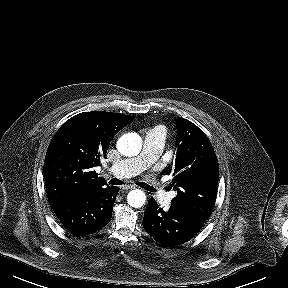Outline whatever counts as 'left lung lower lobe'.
I'll list each match as a JSON object with an SVG mask.
<instances>
[{
	"label": "left lung lower lobe",
	"instance_id": "left-lung-lower-lobe-1",
	"mask_svg": "<svg viewBox=\"0 0 288 288\" xmlns=\"http://www.w3.org/2000/svg\"><path fill=\"white\" fill-rule=\"evenodd\" d=\"M205 221L204 218L172 205L169 210H163L151 198L145 210L143 227L159 243L175 247L192 239Z\"/></svg>",
	"mask_w": 288,
	"mask_h": 288
}]
</instances>
